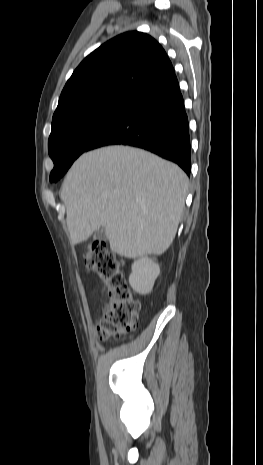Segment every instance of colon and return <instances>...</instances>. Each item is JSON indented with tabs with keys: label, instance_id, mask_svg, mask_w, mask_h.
<instances>
[{
	"label": "colon",
	"instance_id": "colon-1",
	"mask_svg": "<svg viewBox=\"0 0 263 465\" xmlns=\"http://www.w3.org/2000/svg\"><path fill=\"white\" fill-rule=\"evenodd\" d=\"M83 262L88 271L98 275L105 291L104 313L96 328L97 335L106 340L132 332L137 326L140 305L126 284L121 261L105 242L93 241L86 246Z\"/></svg>",
	"mask_w": 263,
	"mask_h": 465
}]
</instances>
